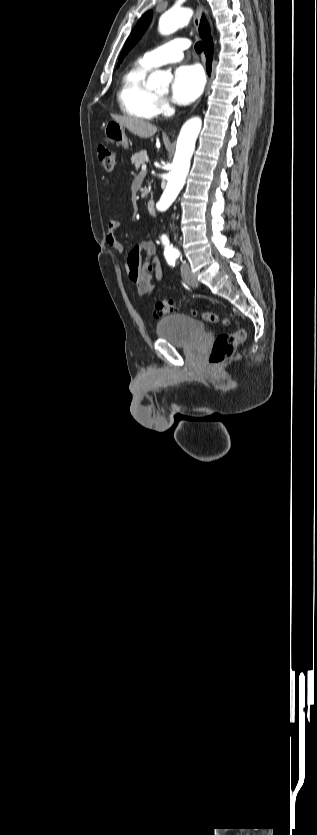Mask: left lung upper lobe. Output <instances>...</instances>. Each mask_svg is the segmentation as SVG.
Wrapping results in <instances>:
<instances>
[{"label": "left lung upper lobe", "instance_id": "5c2ea615", "mask_svg": "<svg viewBox=\"0 0 317 835\" xmlns=\"http://www.w3.org/2000/svg\"><path fill=\"white\" fill-rule=\"evenodd\" d=\"M152 18V11L146 12L138 21L137 25L131 32L130 36L128 37L125 46L120 54L119 62H121L124 56L132 49V47L138 42L141 36L144 34L145 30L147 29L148 25L151 22Z\"/></svg>", "mask_w": 317, "mask_h": 835}]
</instances>
